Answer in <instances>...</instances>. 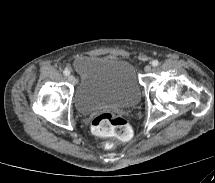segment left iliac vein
Returning a JSON list of instances; mask_svg holds the SVG:
<instances>
[{"label":"left iliac vein","instance_id":"4c4485c4","mask_svg":"<svg viewBox=\"0 0 215 183\" xmlns=\"http://www.w3.org/2000/svg\"><path fill=\"white\" fill-rule=\"evenodd\" d=\"M152 67L150 65L145 66L144 71L146 73H149L151 71Z\"/></svg>","mask_w":215,"mask_h":183}]
</instances>
